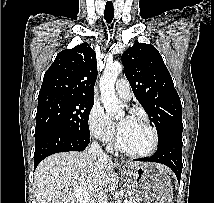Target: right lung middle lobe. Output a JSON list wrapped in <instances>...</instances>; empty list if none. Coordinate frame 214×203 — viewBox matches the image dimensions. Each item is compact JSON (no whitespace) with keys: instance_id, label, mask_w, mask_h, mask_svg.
Returning a JSON list of instances; mask_svg holds the SVG:
<instances>
[{"instance_id":"dd1d6c3e","label":"right lung middle lobe","mask_w":214,"mask_h":203,"mask_svg":"<svg viewBox=\"0 0 214 203\" xmlns=\"http://www.w3.org/2000/svg\"><path fill=\"white\" fill-rule=\"evenodd\" d=\"M94 98L54 95L38 99L35 138L51 131L90 137L88 118Z\"/></svg>"}]
</instances>
